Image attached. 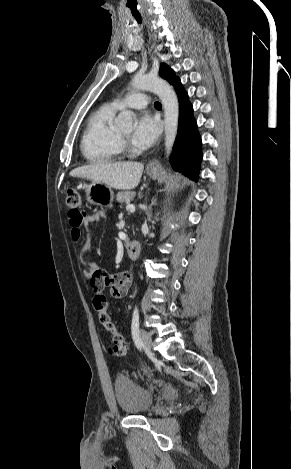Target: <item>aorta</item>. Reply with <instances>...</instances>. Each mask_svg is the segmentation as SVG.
I'll return each instance as SVG.
<instances>
[{"instance_id":"762f6f07","label":"aorta","mask_w":291,"mask_h":469,"mask_svg":"<svg viewBox=\"0 0 291 469\" xmlns=\"http://www.w3.org/2000/svg\"><path fill=\"white\" fill-rule=\"evenodd\" d=\"M131 85L135 90H149L159 96L164 108L165 151L169 156L176 138L179 120V105L174 90L166 81L151 75H135ZM133 119V112L122 111L115 120V126L122 130H130Z\"/></svg>"}]
</instances>
